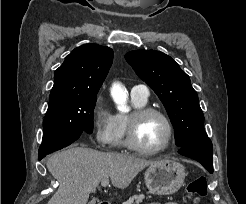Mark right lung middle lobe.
<instances>
[{"label": "right lung middle lobe", "mask_w": 246, "mask_h": 204, "mask_svg": "<svg viewBox=\"0 0 246 204\" xmlns=\"http://www.w3.org/2000/svg\"><path fill=\"white\" fill-rule=\"evenodd\" d=\"M95 104L96 94L49 101L38 157L70 145L82 132L91 134Z\"/></svg>", "instance_id": "dd1d6c3e"}]
</instances>
